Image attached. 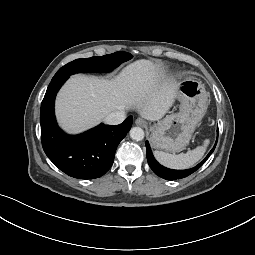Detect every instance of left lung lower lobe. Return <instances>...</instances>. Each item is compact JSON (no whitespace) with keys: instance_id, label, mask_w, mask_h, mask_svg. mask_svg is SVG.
Instances as JSON below:
<instances>
[{"instance_id":"left-lung-lower-lobe-1","label":"left lung lower lobe","mask_w":255,"mask_h":255,"mask_svg":"<svg viewBox=\"0 0 255 255\" xmlns=\"http://www.w3.org/2000/svg\"><path fill=\"white\" fill-rule=\"evenodd\" d=\"M217 132H218V130H217ZM216 144H217V140H216L214 147L208 153L206 158L202 162H200L198 165H196L195 167L186 169V170H173V169H168L166 167H163L155 160V158L153 157V154L151 152L150 145H149L148 141H146L147 161H148L150 168L159 177L164 178L166 180H177V179L187 177V176L191 175L192 173H194L195 171H197L202 166V164L207 160V158L212 154V152L214 151V149L216 147Z\"/></svg>"}]
</instances>
